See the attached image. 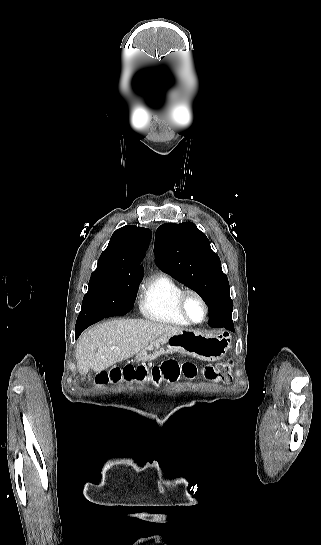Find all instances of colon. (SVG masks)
<instances>
[{
    "label": "colon",
    "mask_w": 321,
    "mask_h": 545,
    "mask_svg": "<svg viewBox=\"0 0 321 545\" xmlns=\"http://www.w3.org/2000/svg\"><path fill=\"white\" fill-rule=\"evenodd\" d=\"M201 372L202 376L213 383H229L232 378L230 363L207 364L199 368L192 361H177L169 359L156 366H125L103 371L96 377V383L101 385L127 382H151L156 385L163 381L174 383L181 376L193 379Z\"/></svg>",
    "instance_id": "colon-1"
}]
</instances>
